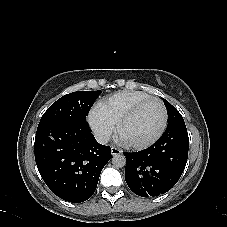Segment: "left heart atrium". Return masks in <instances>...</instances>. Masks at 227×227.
I'll list each match as a JSON object with an SVG mask.
<instances>
[{"label": "left heart atrium", "mask_w": 227, "mask_h": 227, "mask_svg": "<svg viewBox=\"0 0 227 227\" xmlns=\"http://www.w3.org/2000/svg\"><path fill=\"white\" fill-rule=\"evenodd\" d=\"M121 140L126 143V141L121 137Z\"/></svg>", "instance_id": "obj_1"}]
</instances>
